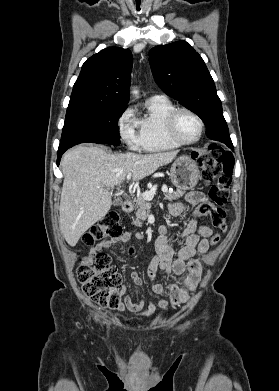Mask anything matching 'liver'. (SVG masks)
<instances>
[{
	"instance_id": "obj_1",
	"label": "liver",
	"mask_w": 279,
	"mask_h": 391,
	"mask_svg": "<svg viewBox=\"0 0 279 391\" xmlns=\"http://www.w3.org/2000/svg\"><path fill=\"white\" fill-rule=\"evenodd\" d=\"M177 152L157 154H111L99 146H78L61 161L64 174L59 226L74 247L81 236L101 220L112 205L109 190L132 174L138 181L169 164Z\"/></svg>"
}]
</instances>
